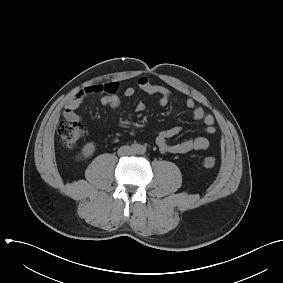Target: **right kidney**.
<instances>
[{"mask_svg": "<svg viewBox=\"0 0 283 283\" xmlns=\"http://www.w3.org/2000/svg\"><path fill=\"white\" fill-rule=\"evenodd\" d=\"M95 151V144L90 142L83 146L82 148V156L87 158L90 157Z\"/></svg>", "mask_w": 283, "mask_h": 283, "instance_id": "ca27d5eb", "label": "right kidney"}]
</instances>
